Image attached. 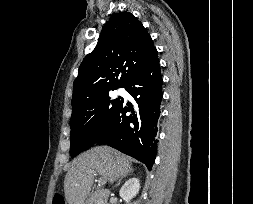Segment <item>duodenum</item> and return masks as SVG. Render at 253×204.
I'll return each instance as SVG.
<instances>
[{
  "label": "duodenum",
  "instance_id": "1",
  "mask_svg": "<svg viewBox=\"0 0 253 204\" xmlns=\"http://www.w3.org/2000/svg\"><path fill=\"white\" fill-rule=\"evenodd\" d=\"M109 193L104 190H96L92 193L89 200L85 204H94L96 202L107 204Z\"/></svg>",
  "mask_w": 253,
  "mask_h": 204
}]
</instances>
